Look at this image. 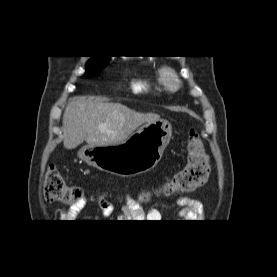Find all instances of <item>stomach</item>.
<instances>
[{"mask_svg":"<svg viewBox=\"0 0 277 277\" xmlns=\"http://www.w3.org/2000/svg\"><path fill=\"white\" fill-rule=\"evenodd\" d=\"M172 137L166 120L145 123L125 141L109 146H83L78 156L101 171L131 176L154 168Z\"/></svg>","mask_w":277,"mask_h":277,"instance_id":"1","label":"stomach"}]
</instances>
